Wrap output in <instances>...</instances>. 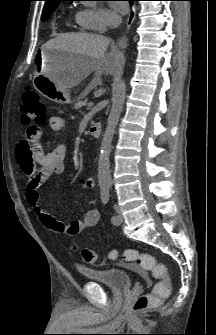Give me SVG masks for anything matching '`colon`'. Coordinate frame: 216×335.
Segmentation results:
<instances>
[{"mask_svg":"<svg viewBox=\"0 0 216 335\" xmlns=\"http://www.w3.org/2000/svg\"><path fill=\"white\" fill-rule=\"evenodd\" d=\"M22 117L26 124L42 125L46 119V109L41 101L40 95L33 89H26L22 93ZM79 254L84 262L96 264L98 254L88 248L79 250ZM118 252L112 251L109 254L111 259H116ZM122 259L131 264H135L142 271L148 272L151 277L157 279L153 291L139 296L133 304V310L140 312L150 307L156 306L160 301L170 296L172 285L167 274L166 266L158 263L154 256L149 253L139 252L135 249H127L122 253Z\"/></svg>","mask_w":216,"mask_h":335,"instance_id":"1","label":"colon"}]
</instances>
